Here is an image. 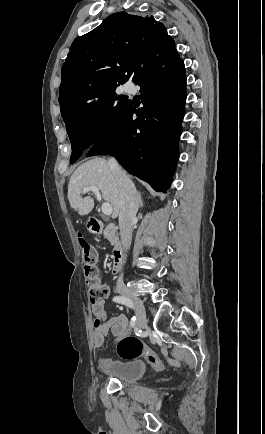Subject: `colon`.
Segmentation results:
<instances>
[{
	"label": "colon",
	"mask_w": 265,
	"mask_h": 434,
	"mask_svg": "<svg viewBox=\"0 0 265 434\" xmlns=\"http://www.w3.org/2000/svg\"><path fill=\"white\" fill-rule=\"evenodd\" d=\"M78 243L85 265V280L90 300L92 303L99 304L108 298L110 289L102 280L98 250L82 234L78 235ZM94 323L99 327L103 322L98 318ZM115 349L117 355L124 361L131 362L144 357L146 362L154 369L161 370L165 368V363L152 353L142 340L135 336L124 337L118 342Z\"/></svg>",
	"instance_id": "5ec220e1"
}]
</instances>
